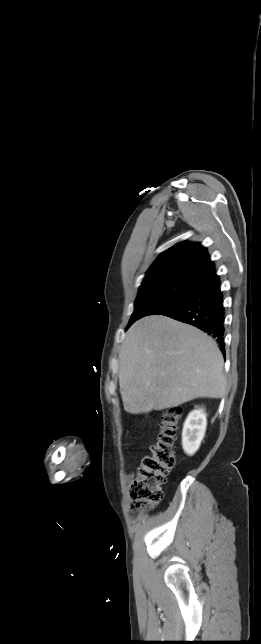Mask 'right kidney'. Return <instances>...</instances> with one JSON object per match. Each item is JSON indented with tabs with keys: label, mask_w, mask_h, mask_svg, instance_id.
Listing matches in <instances>:
<instances>
[{
	"label": "right kidney",
	"mask_w": 261,
	"mask_h": 644,
	"mask_svg": "<svg viewBox=\"0 0 261 644\" xmlns=\"http://www.w3.org/2000/svg\"><path fill=\"white\" fill-rule=\"evenodd\" d=\"M206 426L204 409H195L189 413L182 431V446L186 454L193 455L199 449Z\"/></svg>",
	"instance_id": "ca27d5eb"
}]
</instances>
